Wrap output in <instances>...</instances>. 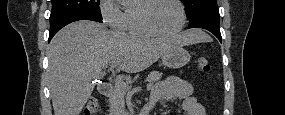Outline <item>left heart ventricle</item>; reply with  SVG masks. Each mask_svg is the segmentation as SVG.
Returning <instances> with one entry per match:
<instances>
[{
    "label": "left heart ventricle",
    "mask_w": 285,
    "mask_h": 115,
    "mask_svg": "<svg viewBox=\"0 0 285 115\" xmlns=\"http://www.w3.org/2000/svg\"><path fill=\"white\" fill-rule=\"evenodd\" d=\"M149 19L157 29L164 32L173 31L180 23L179 8L169 0L158 1L149 11Z\"/></svg>",
    "instance_id": "left-heart-ventricle-1"
}]
</instances>
